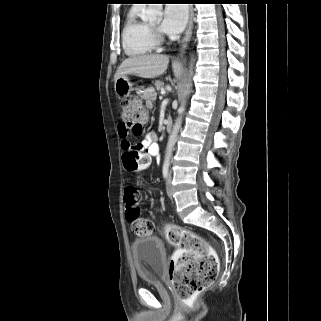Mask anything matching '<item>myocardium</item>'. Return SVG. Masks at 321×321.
I'll return each mask as SVG.
<instances>
[{"mask_svg":"<svg viewBox=\"0 0 321 321\" xmlns=\"http://www.w3.org/2000/svg\"><path fill=\"white\" fill-rule=\"evenodd\" d=\"M150 30H151V33H152L155 43L156 44L162 43L164 39H163V36L158 31V29L155 26L151 25Z\"/></svg>","mask_w":321,"mask_h":321,"instance_id":"myocardium-1","label":"myocardium"}]
</instances>
